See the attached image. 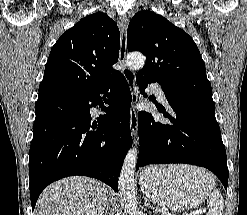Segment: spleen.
Masks as SVG:
<instances>
[{
    "label": "spleen",
    "mask_w": 247,
    "mask_h": 215,
    "mask_svg": "<svg viewBox=\"0 0 247 215\" xmlns=\"http://www.w3.org/2000/svg\"><path fill=\"white\" fill-rule=\"evenodd\" d=\"M208 215H223L224 200L218 190H210L207 199Z\"/></svg>",
    "instance_id": "spleen-1"
}]
</instances>
